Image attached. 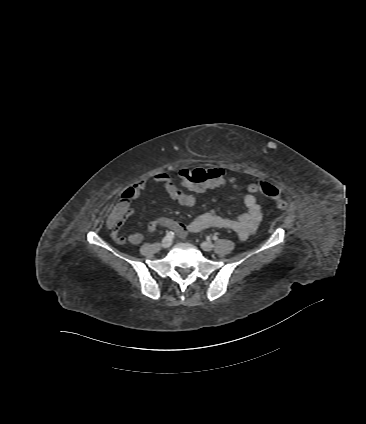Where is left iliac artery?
I'll return each instance as SVG.
<instances>
[{"instance_id": "44dca946", "label": "left iliac artery", "mask_w": 366, "mask_h": 424, "mask_svg": "<svg viewBox=\"0 0 366 424\" xmlns=\"http://www.w3.org/2000/svg\"><path fill=\"white\" fill-rule=\"evenodd\" d=\"M218 239V237L215 235V236H213V240H217Z\"/></svg>"}]
</instances>
